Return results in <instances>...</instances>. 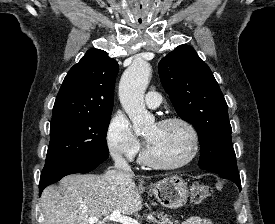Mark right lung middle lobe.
<instances>
[{"instance_id":"1","label":"right lung middle lobe","mask_w":275,"mask_h":224,"mask_svg":"<svg viewBox=\"0 0 275 224\" xmlns=\"http://www.w3.org/2000/svg\"><path fill=\"white\" fill-rule=\"evenodd\" d=\"M111 113L52 117L44 169L108 154L107 129Z\"/></svg>"}]
</instances>
